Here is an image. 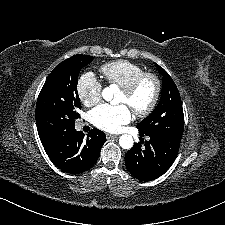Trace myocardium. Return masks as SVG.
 Returning a JSON list of instances; mask_svg holds the SVG:
<instances>
[{
	"instance_id": "1",
	"label": "myocardium",
	"mask_w": 225,
	"mask_h": 225,
	"mask_svg": "<svg viewBox=\"0 0 225 225\" xmlns=\"http://www.w3.org/2000/svg\"><path fill=\"white\" fill-rule=\"evenodd\" d=\"M146 79H149L154 84V92L149 104L141 110H135L133 113L137 117H146L148 116L157 106L160 95H161V81L159 77L150 72H143L136 77H134L128 84L121 88V91L124 92L126 95H131L137 87Z\"/></svg>"
}]
</instances>
